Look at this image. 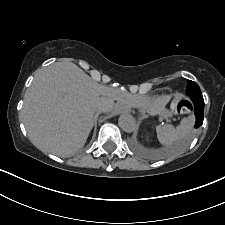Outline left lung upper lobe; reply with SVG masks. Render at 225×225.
Wrapping results in <instances>:
<instances>
[{"mask_svg": "<svg viewBox=\"0 0 225 225\" xmlns=\"http://www.w3.org/2000/svg\"><path fill=\"white\" fill-rule=\"evenodd\" d=\"M186 93L190 98H194V97L203 98L198 84L191 80L188 81Z\"/></svg>", "mask_w": 225, "mask_h": 225, "instance_id": "obj_1", "label": "left lung upper lobe"}]
</instances>
